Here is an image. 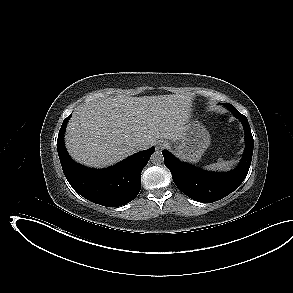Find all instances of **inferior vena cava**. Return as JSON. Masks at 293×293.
Segmentation results:
<instances>
[{"mask_svg":"<svg viewBox=\"0 0 293 293\" xmlns=\"http://www.w3.org/2000/svg\"><path fill=\"white\" fill-rule=\"evenodd\" d=\"M135 146H136L137 150H145V149L149 148V145H145L141 142H137V144Z\"/></svg>","mask_w":293,"mask_h":293,"instance_id":"1","label":"inferior vena cava"}]
</instances>
